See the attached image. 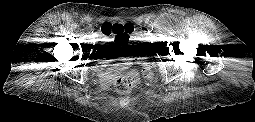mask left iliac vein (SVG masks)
I'll return each mask as SVG.
<instances>
[{
    "label": "left iliac vein",
    "mask_w": 255,
    "mask_h": 122,
    "mask_svg": "<svg viewBox=\"0 0 255 122\" xmlns=\"http://www.w3.org/2000/svg\"><path fill=\"white\" fill-rule=\"evenodd\" d=\"M151 32H148V33H146L145 35L147 36V37H149V36H151Z\"/></svg>",
    "instance_id": "obj_1"
}]
</instances>
